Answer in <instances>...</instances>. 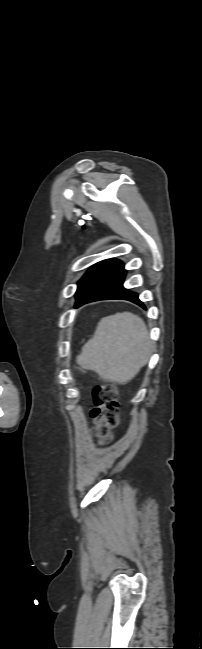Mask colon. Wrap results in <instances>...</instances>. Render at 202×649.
I'll use <instances>...</instances> for the list:
<instances>
[{
	"mask_svg": "<svg viewBox=\"0 0 202 649\" xmlns=\"http://www.w3.org/2000/svg\"><path fill=\"white\" fill-rule=\"evenodd\" d=\"M118 390L113 384H102L95 388L92 411L93 433L100 443L112 440L111 429L117 425Z\"/></svg>",
	"mask_w": 202,
	"mask_h": 649,
	"instance_id": "colon-1",
	"label": "colon"
}]
</instances>
